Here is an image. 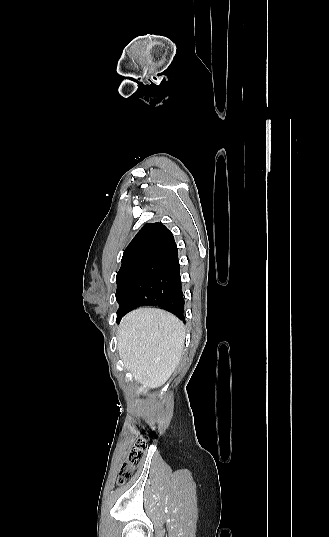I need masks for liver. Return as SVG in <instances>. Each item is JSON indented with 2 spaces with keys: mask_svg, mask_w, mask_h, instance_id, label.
I'll return each instance as SVG.
<instances>
[{
  "mask_svg": "<svg viewBox=\"0 0 329 537\" xmlns=\"http://www.w3.org/2000/svg\"><path fill=\"white\" fill-rule=\"evenodd\" d=\"M183 323L171 313L138 308L122 320L118 351L135 381L149 389L162 386L180 362L184 347Z\"/></svg>",
  "mask_w": 329,
  "mask_h": 537,
  "instance_id": "obj_1",
  "label": "liver"
}]
</instances>
